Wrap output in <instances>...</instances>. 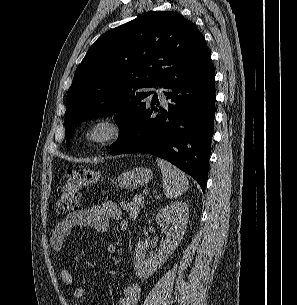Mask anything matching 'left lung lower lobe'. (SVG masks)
Instances as JSON below:
<instances>
[{
    "instance_id": "0a47b994",
    "label": "left lung lower lobe",
    "mask_w": 297,
    "mask_h": 305,
    "mask_svg": "<svg viewBox=\"0 0 297 305\" xmlns=\"http://www.w3.org/2000/svg\"><path fill=\"white\" fill-rule=\"evenodd\" d=\"M214 71L210 64L167 80L161 87L167 89L168 104L160 106L154 95L110 154L141 152L164 158L191 175L205 192L214 131ZM153 112L158 114L151 117Z\"/></svg>"
}]
</instances>
